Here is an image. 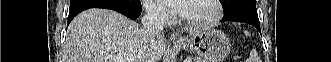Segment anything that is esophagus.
<instances>
[{
    "mask_svg": "<svg viewBox=\"0 0 331 62\" xmlns=\"http://www.w3.org/2000/svg\"><path fill=\"white\" fill-rule=\"evenodd\" d=\"M170 39L173 41V42H181L184 40V38L176 31H172L171 34H170Z\"/></svg>",
    "mask_w": 331,
    "mask_h": 62,
    "instance_id": "obj_1",
    "label": "esophagus"
}]
</instances>
